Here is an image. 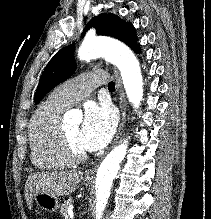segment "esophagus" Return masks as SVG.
I'll return each mask as SVG.
<instances>
[{
	"mask_svg": "<svg viewBox=\"0 0 211 219\" xmlns=\"http://www.w3.org/2000/svg\"><path fill=\"white\" fill-rule=\"evenodd\" d=\"M114 76H115V80H116V89H117L118 96H119V108L121 111V120H120L119 128H118V131L116 133L115 139L113 141V145H115L117 143L118 139L120 138V136L123 132L124 126H125V122H126V98H125L124 90L122 87L121 78H120L119 73L116 69H114ZM97 167H98V164H96L92 169L87 171L86 177H93L94 173L97 170Z\"/></svg>",
	"mask_w": 211,
	"mask_h": 219,
	"instance_id": "esophagus-1",
	"label": "esophagus"
}]
</instances>
